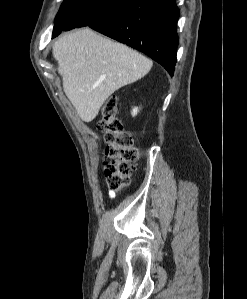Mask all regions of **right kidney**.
I'll use <instances>...</instances> for the list:
<instances>
[{
    "label": "right kidney",
    "instance_id": "1",
    "mask_svg": "<svg viewBox=\"0 0 247 299\" xmlns=\"http://www.w3.org/2000/svg\"><path fill=\"white\" fill-rule=\"evenodd\" d=\"M138 108L137 107H135V108H133L132 109V116H136L137 115V113H138Z\"/></svg>",
    "mask_w": 247,
    "mask_h": 299
}]
</instances>
